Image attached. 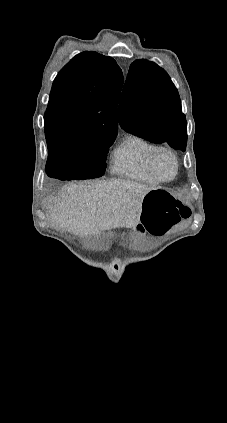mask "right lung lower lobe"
<instances>
[{"label": "right lung lower lobe", "mask_w": 227, "mask_h": 423, "mask_svg": "<svg viewBox=\"0 0 227 423\" xmlns=\"http://www.w3.org/2000/svg\"><path fill=\"white\" fill-rule=\"evenodd\" d=\"M45 170L49 177L70 180L72 167L61 163H47Z\"/></svg>", "instance_id": "obj_1"}]
</instances>
